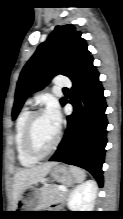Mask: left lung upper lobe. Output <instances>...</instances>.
Returning <instances> with one entry per match:
<instances>
[{
  "label": "left lung upper lobe",
  "instance_id": "1",
  "mask_svg": "<svg viewBox=\"0 0 123 219\" xmlns=\"http://www.w3.org/2000/svg\"><path fill=\"white\" fill-rule=\"evenodd\" d=\"M92 58L86 41L73 25L56 26L46 42L42 43L24 66L15 92L12 118L20 112L26 98L43 89L50 80L62 74L70 79L80 66ZM65 98L60 100L61 104Z\"/></svg>",
  "mask_w": 123,
  "mask_h": 219
}]
</instances>
